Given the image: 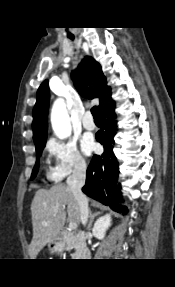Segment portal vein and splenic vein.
<instances>
[{"label":"portal vein and splenic vein","instance_id":"portal-vein-and-splenic-vein-1","mask_svg":"<svg viewBox=\"0 0 175 287\" xmlns=\"http://www.w3.org/2000/svg\"><path fill=\"white\" fill-rule=\"evenodd\" d=\"M57 212V210H55V213ZM69 228L71 230H75L77 228V224L75 222H70L69 223Z\"/></svg>","mask_w":175,"mask_h":287}]
</instances>
